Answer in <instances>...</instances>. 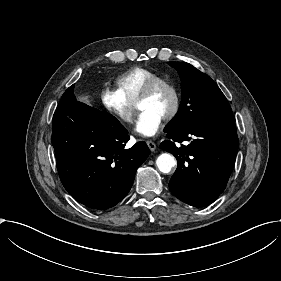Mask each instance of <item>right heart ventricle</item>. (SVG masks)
I'll list each match as a JSON object with an SVG mask.
<instances>
[{"instance_id": "right-heart-ventricle-1", "label": "right heart ventricle", "mask_w": 281, "mask_h": 281, "mask_svg": "<svg viewBox=\"0 0 281 281\" xmlns=\"http://www.w3.org/2000/svg\"><path fill=\"white\" fill-rule=\"evenodd\" d=\"M157 77L160 75L149 68L133 67L116 79L117 90L128 102L135 105L145 86Z\"/></svg>"}]
</instances>
